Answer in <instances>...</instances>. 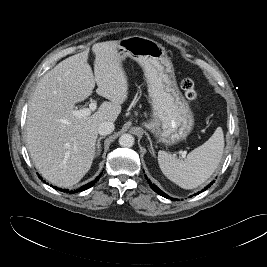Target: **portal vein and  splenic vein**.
Returning a JSON list of instances; mask_svg holds the SVG:
<instances>
[{"label":"portal vein and splenic vein","instance_id":"1","mask_svg":"<svg viewBox=\"0 0 267 267\" xmlns=\"http://www.w3.org/2000/svg\"><path fill=\"white\" fill-rule=\"evenodd\" d=\"M96 106H97V101L93 100L89 104V108H83L80 110H73L72 114L77 118L86 117V116L90 115L93 111H95ZM185 156H186V153L182 152V157L184 158Z\"/></svg>","mask_w":267,"mask_h":267}]
</instances>
